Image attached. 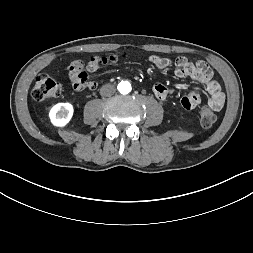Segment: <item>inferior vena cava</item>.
<instances>
[{"instance_id":"602c4592","label":"inferior vena cava","mask_w":253,"mask_h":253,"mask_svg":"<svg viewBox=\"0 0 253 253\" xmlns=\"http://www.w3.org/2000/svg\"><path fill=\"white\" fill-rule=\"evenodd\" d=\"M116 88L112 84H105L100 89L101 96H111L115 93Z\"/></svg>"}]
</instances>
